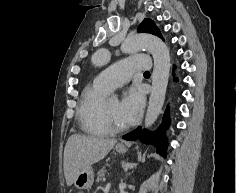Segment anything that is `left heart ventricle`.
Returning <instances> with one entry per match:
<instances>
[{
    "label": "left heart ventricle",
    "instance_id": "obj_1",
    "mask_svg": "<svg viewBox=\"0 0 237 193\" xmlns=\"http://www.w3.org/2000/svg\"><path fill=\"white\" fill-rule=\"evenodd\" d=\"M106 106L110 115L112 122L118 126H125V122L121 111H120V102L117 100H108Z\"/></svg>",
    "mask_w": 237,
    "mask_h": 193
}]
</instances>
